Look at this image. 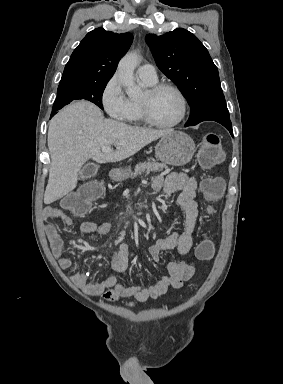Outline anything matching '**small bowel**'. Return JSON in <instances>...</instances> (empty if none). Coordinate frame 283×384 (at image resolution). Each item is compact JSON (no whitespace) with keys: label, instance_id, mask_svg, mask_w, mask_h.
I'll return each mask as SVG.
<instances>
[{"label":"small bowel","instance_id":"1","mask_svg":"<svg viewBox=\"0 0 283 384\" xmlns=\"http://www.w3.org/2000/svg\"><path fill=\"white\" fill-rule=\"evenodd\" d=\"M156 191H163L166 194L178 193V205L185 213V224L183 232L175 231L165 238L157 240L149 247L150 257L158 262L163 251L176 249L180 255H187L191 251L193 239L192 233L198 215V207L195 201L197 182L182 172H173L168 175L158 176L153 182ZM47 221L44 230L50 243L53 256L62 269L71 266V259L64 253V241L56 226L50 222L54 219H61L66 224L72 223L71 219L62 209L55 206H48L44 212ZM113 229L111 223L86 221L80 225V231L84 234L106 235ZM129 250L126 243H121L114 252L111 265L113 270L123 275L128 267ZM168 275L163 276L155 285L139 286L121 283L116 276H111L101 282H92L87 273H75L72 276L73 283L85 294L99 297L109 302L118 301L121 298H134L139 302L148 299H157L164 295L169 288L179 289L184 282L191 279L195 272L193 261L176 260L167 266Z\"/></svg>","mask_w":283,"mask_h":384}]
</instances>
